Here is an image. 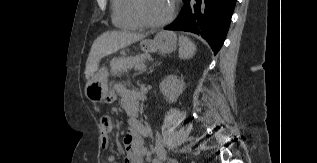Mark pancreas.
<instances>
[{
  "label": "pancreas",
  "instance_id": "pancreas-1",
  "mask_svg": "<svg viewBox=\"0 0 317 163\" xmlns=\"http://www.w3.org/2000/svg\"><path fill=\"white\" fill-rule=\"evenodd\" d=\"M146 57L138 55L135 57L113 58L110 62L111 75L120 76L129 69L138 65H144Z\"/></svg>",
  "mask_w": 317,
  "mask_h": 163
}]
</instances>
